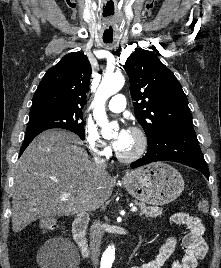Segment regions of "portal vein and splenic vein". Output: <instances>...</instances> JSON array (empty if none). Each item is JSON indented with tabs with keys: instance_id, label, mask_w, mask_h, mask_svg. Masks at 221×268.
Returning <instances> with one entry per match:
<instances>
[{
	"instance_id": "portal-vein-and-splenic-vein-1",
	"label": "portal vein and splenic vein",
	"mask_w": 221,
	"mask_h": 268,
	"mask_svg": "<svg viewBox=\"0 0 221 268\" xmlns=\"http://www.w3.org/2000/svg\"><path fill=\"white\" fill-rule=\"evenodd\" d=\"M71 195V193H64L62 196H61V199H65L67 197H69ZM131 211L132 212H137L138 211V208L137 207H132L131 208Z\"/></svg>"
}]
</instances>
